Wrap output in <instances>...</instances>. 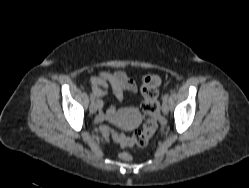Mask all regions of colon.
<instances>
[{
    "instance_id": "obj_1",
    "label": "colon",
    "mask_w": 249,
    "mask_h": 188,
    "mask_svg": "<svg viewBox=\"0 0 249 188\" xmlns=\"http://www.w3.org/2000/svg\"><path fill=\"white\" fill-rule=\"evenodd\" d=\"M161 82V77L157 75H148L143 79L141 86V94L143 97L141 108L144 116V124L142 129L135 131L131 137H127L123 134L114 132L109 126L104 125L101 127L103 136L122 146H146L159 126L158 87ZM119 157L125 161L131 159V155L127 151L121 152Z\"/></svg>"
}]
</instances>
